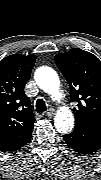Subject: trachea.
<instances>
[{
	"label": "trachea",
	"mask_w": 101,
	"mask_h": 180,
	"mask_svg": "<svg viewBox=\"0 0 101 180\" xmlns=\"http://www.w3.org/2000/svg\"><path fill=\"white\" fill-rule=\"evenodd\" d=\"M36 110L38 113L46 111L45 102L42 99H38L36 102Z\"/></svg>",
	"instance_id": "1"
}]
</instances>
